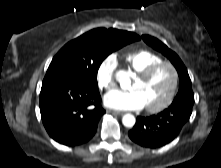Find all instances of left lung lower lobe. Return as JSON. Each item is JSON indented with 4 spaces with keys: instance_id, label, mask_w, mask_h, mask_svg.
<instances>
[{
    "instance_id": "1",
    "label": "left lung lower lobe",
    "mask_w": 221,
    "mask_h": 168,
    "mask_svg": "<svg viewBox=\"0 0 221 168\" xmlns=\"http://www.w3.org/2000/svg\"><path fill=\"white\" fill-rule=\"evenodd\" d=\"M194 100L173 102L167 109L150 117H137L129 137L146 148H158L170 143L189 120Z\"/></svg>"
}]
</instances>
